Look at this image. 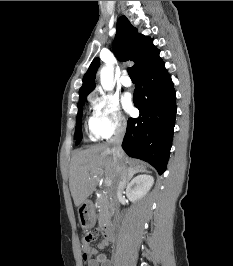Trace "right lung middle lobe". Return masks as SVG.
Returning a JSON list of instances; mask_svg holds the SVG:
<instances>
[{
	"label": "right lung middle lobe",
	"mask_w": 233,
	"mask_h": 266,
	"mask_svg": "<svg viewBox=\"0 0 233 266\" xmlns=\"http://www.w3.org/2000/svg\"><path fill=\"white\" fill-rule=\"evenodd\" d=\"M85 98L79 99L78 102V114H77V121H76V130H75V139L79 140L82 139V129H81V119H82V109L84 104Z\"/></svg>",
	"instance_id": "dd1d6c3e"
}]
</instances>
